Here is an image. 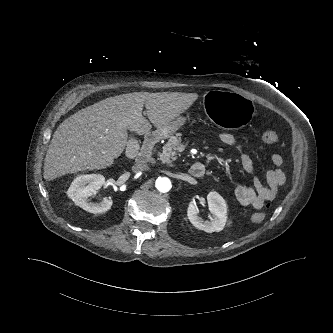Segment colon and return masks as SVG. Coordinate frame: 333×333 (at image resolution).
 Returning a JSON list of instances; mask_svg holds the SVG:
<instances>
[{"instance_id": "colon-1", "label": "colon", "mask_w": 333, "mask_h": 333, "mask_svg": "<svg viewBox=\"0 0 333 333\" xmlns=\"http://www.w3.org/2000/svg\"><path fill=\"white\" fill-rule=\"evenodd\" d=\"M278 139L277 134L274 131H265L261 136V143L263 146H269L274 144ZM270 204H266V208H269ZM252 222L260 223L265 219L264 212H257L252 215Z\"/></svg>"}]
</instances>
